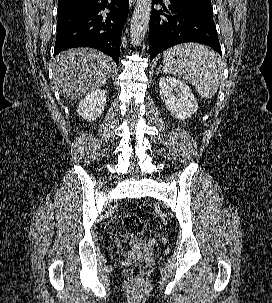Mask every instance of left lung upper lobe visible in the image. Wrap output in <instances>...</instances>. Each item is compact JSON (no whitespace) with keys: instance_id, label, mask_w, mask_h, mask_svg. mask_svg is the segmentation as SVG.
<instances>
[{"instance_id":"obj_1","label":"left lung upper lobe","mask_w":272,"mask_h":303,"mask_svg":"<svg viewBox=\"0 0 272 303\" xmlns=\"http://www.w3.org/2000/svg\"><path fill=\"white\" fill-rule=\"evenodd\" d=\"M193 1H198V2H208V3H211L210 0H193Z\"/></svg>"}]
</instances>
